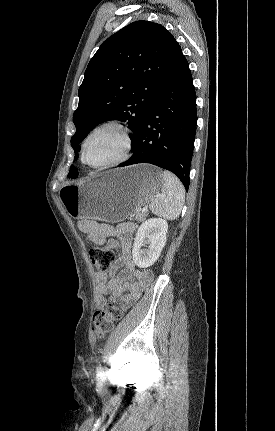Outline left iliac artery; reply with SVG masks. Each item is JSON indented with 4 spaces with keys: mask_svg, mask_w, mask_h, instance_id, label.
<instances>
[{
    "mask_svg": "<svg viewBox=\"0 0 275 431\" xmlns=\"http://www.w3.org/2000/svg\"><path fill=\"white\" fill-rule=\"evenodd\" d=\"M96 375L99 379L103 378V368L100 364L97 366Z\"/></svg>",
    "mask_w": 275,
    "mask_h": 431,
    "instance_id": "1",
    "label": "left iliac artery"
}]
</instances>
